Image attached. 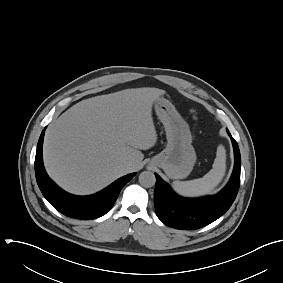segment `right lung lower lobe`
Here are the masks:
<instances>
[{"mask_svg":"<svg viewBox=\"0 0 283 283\" xmlns=\"http://www.w3.org/2000/svg\"><path fill=\"white\" fill-rule=\"evenodd\" d=\"M45 130L38 141L35 157L37 184L50 204L62 214L77 219H95L105 215L114 205L120 190L135 173L123 176L102 191L89 196H75L59 188L47 175L42 160V145Z\"/></svg>","mask_w":283,"mask_h":283,"instance_id":"obj_1","label":"right lung lower lobe"}]
</instances>
